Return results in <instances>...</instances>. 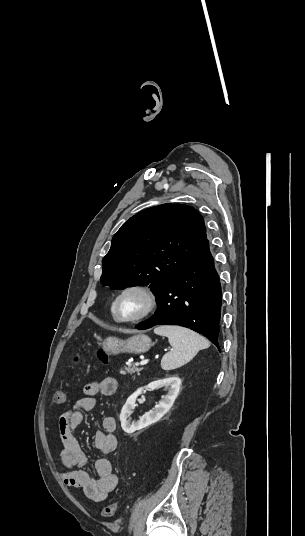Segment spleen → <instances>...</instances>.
<instances>
[{
  "label": "spleen",
  "instance_id": "1",
  "mask_svg": "<svg viewBox=\"0 0 305 536\" xmlns=\"http://www.w3.org/2000/svg\"><path fill=\"white\" fill-rule=\"evenodd\" d=\"M154 334L166 336L173 348L172 352H167L161 360V368L166 372L185 366L193 360L199 350H206L210 346V342L206 338L188 330V328H181V326H158L155 328Z\"/></svg>",
  "mask_w": 305,
  "mask_h": 536
}]
</instances>
